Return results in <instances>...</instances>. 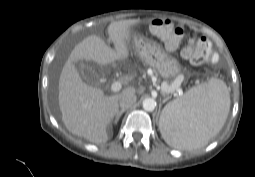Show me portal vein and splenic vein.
Here are the masks:
<instances>
[{
	"instance_id": "1",
	"label": "portal vein and splenic vein",
	"mask_w": 255,
	"mask_h": 177,
	"mask_svg": "<svg viewBox=\"0 0 255 177\" xmlns=\"http://www.w3.org/2000/svg\"><path fill=\"white\" fill-rule=\"evenodd\" d=\"M179 85L180 84H175L174 86L166 87V88H164V92L173 93L175 90H177L179 88ZM121 87H122L121 83L116 81L111 85V90L113 92H118L121 90Z\"/></svg>"
}]
</instances>
